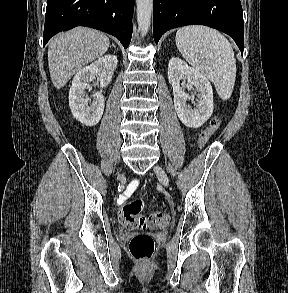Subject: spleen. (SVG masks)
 Segmentation results:
<instances>
[{"instance_id": "3e777b00", "label": "spleen", "mask_w": 288, "mask_h": 293, "mask_svg": "<svg viewBox=\"0 0 288 293\" xmlns=\"http://www.w3.org/2000/svg\"><path fill=\"white\" fill-rule=\"evenodd\" d=\"M175 40L184 59L214 83L220 98L228 99L236 78V59L229 41L201 25L178 29Z\"/></svg>"}]
</instances>
